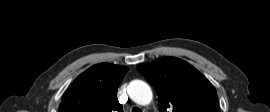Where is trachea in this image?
<instances>
[{
	"mask_svg": "<svg viewBox=\"0 0 270 112\" xmlns=\"http://www.w3.org/2000/svg\"><path fill=\"white\" fill-rule=\"evenodd\" d=\"M132 112H143V111L138 107H133Z\"/></svg>",
	"mask_w": 270,
	"mask_h": 112,
	"instance_id": "obj_1",
	"label": "trachea"
}]
</instances>
